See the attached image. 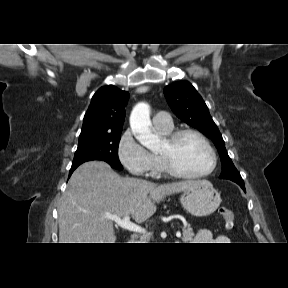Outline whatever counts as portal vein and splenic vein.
<instances>
[{
    "label": "portal vein and splenic vein",
    "mask_w": 288,
    "mask_h": 288,
    "mask_svg": "<svg viewBox=\"0 0 288 288\" xmlns=\"http://www.w3.org/2000/svg\"><path fill=\"white\" fill-rule=\"evenodd\" d=\"M107 218L114 221L117 225H119L123 229H127L129 231H133L136 233L146 234V231L144 228L130 221L129 215H126L123 218L117 217L115 215H109L107 216ZM176 236L180 238L181 233L177 231Z\"/></svg>",
    "instance_id": "1"
}]
</instances>
